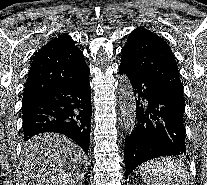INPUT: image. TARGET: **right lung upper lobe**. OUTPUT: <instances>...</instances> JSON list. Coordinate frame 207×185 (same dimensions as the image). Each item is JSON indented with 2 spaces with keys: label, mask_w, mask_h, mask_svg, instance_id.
Here are the masks:
<instances>
[{
  "label": "right lung upper lobe",
  "mask_w": 207,
  "mask_h": 185,
  "mask_svg": "<svg viewBox=\"0 0 207 185\" xmlns=\"http://www.w3.org/2000/svg\"><path fill=\"white\" fill-rule=\"evenodd\" d=\"M89 72L84 55L67 34L50 40L31 64L22 102L78 80Z\"/></svg>",
  "instance_id": "cb5924a9"
}]
</instances>
